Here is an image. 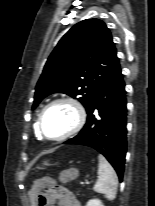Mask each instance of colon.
<instances>
[{"mask_svg": "<svg viewBox=\"0 0 155 206\" xmlns=\"http://www.w3.org/2000/svg\"><path fill=\"white\" fill-rule=\"evenodd\" d=\"M39 187H35L32 192L35 193L38 206H45L47 203L46 193L41 192V189H46L47 192H51L55 186V181L49 178L39 180Z\"/></svg>", "mask_w": 155, "mask_h": 206, "instance_id": "1", "label": "colon"}]
</instances>
